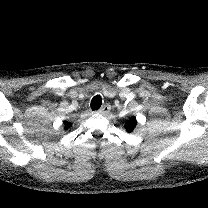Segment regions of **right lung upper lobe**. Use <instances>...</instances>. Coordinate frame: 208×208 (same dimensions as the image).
Returning a JSON list of instances; mask_svg holds the SVG:
<instances>
[{
	"instance_id": "cb5924a9",
	"label": "right lung upper lobe",
	"mask_w": 208,
	"mask_h": 208,
	"mask_svg": "<svg viewBox=\"0 0 208 208\" xmlns=\"http://www.w3.org/2000/svg\"><path fill=\"white\" fill-rule=\"evenodd\" d=\"M64 125H65V129H68L71 127L72 124L70 122L64 121Z\"/></svg>"
}]
</instances>
